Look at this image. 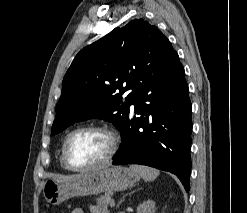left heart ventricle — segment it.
<instances>
[{
    "label": "left heart ventricle",
    "mask_w": 247,
    "mask_h": 213,
    "mask_svg": "<svg viewBox=\"0 0 247 213\" xmlns=\"http://www.w3.org/2000/svg\"><path fill=\"white\" fill-rule=\"evenodd\" d=\"M110 147L108 136L98 131H83L73 135L67 145L70 162L79 167L101 161Z\"/></svg>",
    "instance_id": "left-heart-ventricle-1"
}]
</instances>
